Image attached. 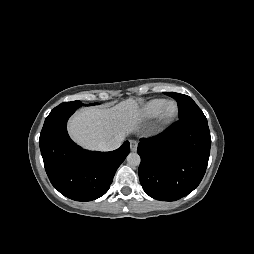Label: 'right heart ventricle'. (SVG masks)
<instances>
[{
    "label": "right heart ventricle",
    "mask_w": 254,
    "mask_h": 254,
    "mask_svg": "<svg viewBox=\"0 0 254 254\" xmlns=\"http://www.w3.org/2000/svg\"><path fill=\"white\" fill-rule=\"evenodd\" d=\"M166 100L153 99L145 103L140 109L139 116L142 120H151L159 115Z\"/></svg>",
    "instance_id": "right-heart-ventricle-1"
}]
</instances>
